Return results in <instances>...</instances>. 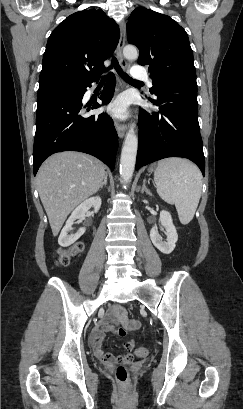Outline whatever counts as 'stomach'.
<instances>
[{"instance_id":"1","label":"stomach","mask_w":243,"mask_h":409,"mask_svg":"<svg viewBox=\"0 0 243 409\" xmlns=\"http://www.w3.org/2000/svg\"><path fill=\"white\" fill-rule=\"evenodd\" d=\"M153 171V167H151L150 169H149V172H152Z\"/></svg>"}]
</instances>
